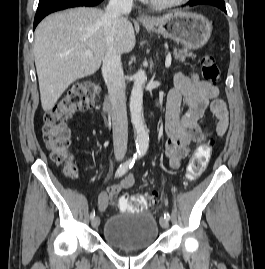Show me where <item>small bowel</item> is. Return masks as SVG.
Instances as JSON below:
<instances>
[{
    "mask_svg": "<svg viewBox=\"0 0 265 269\" xmlns=\"http://www.w3.org/2000/svg\"><path fill=\"white\" fill-rule=\"evenodd\" d=\"M218 88L198 75L179 73L174 78V86L166 96L165 131L167 141L164 154L172 169H178L190 153V146L202 139L198 120L209 109L216 117V132L223 136L228 126V112L225 102L218 97ZM182 101L185 109H181ZM134 185V176L128 174L117 184L102 191L97 200L100 211H105L110 202L123 191Z\"/></svg>",
    "mask_w": 265,
    "mask_h": 269,
    "instance_id": "1",
    "label": "small bowel"
}]
</instances>
